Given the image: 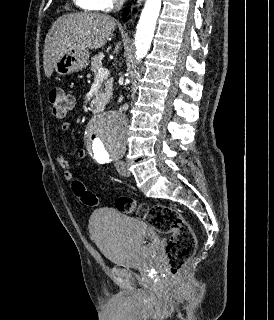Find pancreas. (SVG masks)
Masks as SVG:
<instances>
[{
  "mask_svg": "<svg viewBox=\"0 0 274 320\" xmlns=\"http://www.w3.org/2000/svg\"><path fill=\"white\" fill-rule=\"evenodd\" d=\"M102 58H104L103 54H96V56H92L91 58V68L90 70H92V72H94V76H97V70H100V68H103L102 66ZM114 80L113 78H110V80H106L105 82V92H107V94H109V96H113V88H112V84H113Z\"/></svg>",
  "mask_w": 274,
  "mask_h": 320,
  "instance_id": "cf45deb5",
  "label": "pancreas"
}]
</instances>
